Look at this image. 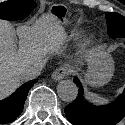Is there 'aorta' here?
Instances as JSON below:
<instances>
[{
  "label": "aorta",
  "mask_w": 125,
  "mask_h": 125,
  "mask_svg": "<svg viewBox=\"0 0 125 125\" xmlns=\"http://www.w3.org/2000/svg\"><path fill=\"white\" fill-rule=\"evenodd\" d=\"M59 97L65 102H73L78 94V88L73 81L63 80L57 86Z\"/></svg>",
  "instance_id": "1"
}]
</instances>
